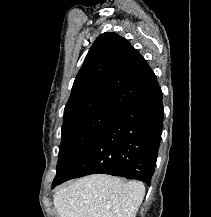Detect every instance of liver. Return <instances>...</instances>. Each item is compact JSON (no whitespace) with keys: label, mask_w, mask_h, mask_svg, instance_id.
Segmentation results:
<instances>
[{"label":"liver","mask_w":211,"mask_h":217,"mask_svg":"<svg viewBox=\"0 0 211 217\" xmlns=\"http://www.w3.org/2000/svg\"><path fill=\"white\" fill-rule=\"evenodd\" d=\"M145 186L94 174L62 187L53 197L58 217H136Z\"/></svg>","instance_id":"6515ba94"}]
</instances>
